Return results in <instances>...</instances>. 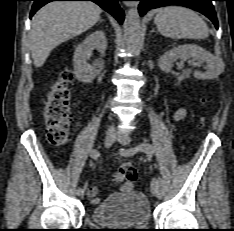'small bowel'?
<instances>
[{
    "instance_id": "c3829d8e",
    "label": "small bowel",
    "mask_w": 234,
    "mask_h": 231,
    "mask_svg": "<svg viewBox=\"0 0 234 231\" xmlns=\"http://www.w3.org/2000/svg\"><path fill=\"white\" fill-rule=\"evenodd\" d=\"M186 116V110L182 107H179L175 110L174 119L180 121ZM133 189V183L130 181H124L121 183L119 190L124 193H128ZM87 195L94 204H98L101 201V198L97 195V189L94 185H88L86 188Z\"/></svg>"
}]
</instances>
